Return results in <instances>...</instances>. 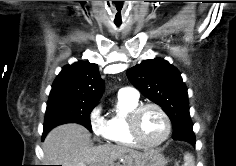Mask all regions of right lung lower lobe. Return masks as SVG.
Masks as SVG:
<instances>
[{
  "label": "right lung lower lobe",
  "mask_w": 236,
  "mask_h": 166,
  "mask_svg": "<svg viewBox=\"0 0 236 166\" xmlns=\"http://www.w3.org/2000/svg\"><path fill=\"white\" fill-rule=\"evenodd\" d=\"M46 134L43 133V138L45 137Z\"/></svg>",
  "instance_id": "obj_1"
}]
</instances>
